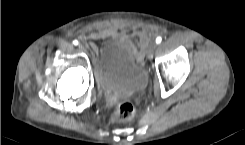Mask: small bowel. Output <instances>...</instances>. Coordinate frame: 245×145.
<instances>
[{"label":"small bowel","mask_w":245,"mask_h":145,"mask_svg":"<svg viewBox=\"0 0 245 145\" xmlns=\"http://www.w3.org/2000/svg\"><path fill=\"white\" fill-rule=\"evenodd\" d=\"M112 33V30L109 29H104V28H100L98 29L92 36V39H102L105 38L106 36L110 35ZM141 36L146 37L147 36V32L146 31H142L141 32Z\"/></svg>","instance_id":"c3829d8e"}]
</instances>
